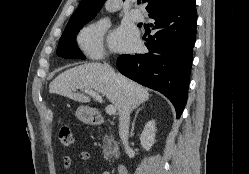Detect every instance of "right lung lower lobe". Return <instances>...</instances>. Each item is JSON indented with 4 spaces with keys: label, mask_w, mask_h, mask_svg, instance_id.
I'll return each instance as SVG.
<instances>
[{
    "label": "right lung lower lobe",
    "mask_w": 249,
    "mask_h": 174,
    "mask_svg": "<svg viewBox=\"0 0 249 174\" xmlns=\"http://www.w3.org/2000/svg\"><path fill=\"white\" fill-rule=\"evenodd\" d=\"M157 29L145 44L146 54L121 55L118 70L130 79L164 94L177 118L188 96L193 46L196 37V0H186L149 14Z\"/></svg>",
    "instance_id": "obj_1"
}]
</instances>
